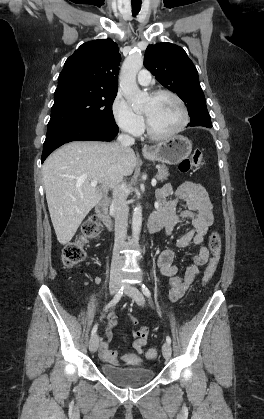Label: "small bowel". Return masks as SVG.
<instances>
[{
  "label": "small bowel",
  "instance_id": "obj_1",
  "mask_svg": "<svg viewBox=\"0 0 264 419\" xmlns=\"http://www.w3.org/2000/svg\"><path fill=\"white\" fill-rule=\"evenodd\" d=\"M158 210L157 215L163 218L164 228L167 236H170L174 228L186 221L189 227L177 240L179 248H186L190 244L199 247L194 255L193 262L183 274H178V267L174 264V252L171 249L162 251L158 257V266L162 275L169 278L171 290L169 298L172 301L181 299L196 277L200 274V267L209 264L214 259L218 262L219 257L211 255L204 246V240L209 227L213 224L214 218L211 203L203 186L192 181H185L176 189L169 184L164 185L157 193ZM179 203L185 204V209L177 211ZM116 314L110 312L107 315V325L104 328L103 336L98 338L99 356L109 364H121L118 353L111 348V339L116 326ZM136 321H132L133 329L130 336L122 334V337L131 343L137 354L142 355L148 344L150 329L148 327L135 328ZM125 364L135 362L133 355H126L123 358Z\"/></svg>",
  "mask_w": 264,
  "mask_h": 419
}]
</instances>
